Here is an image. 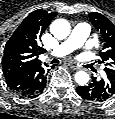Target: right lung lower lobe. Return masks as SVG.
Segmentation results:
<instances>
[{"label":"right lung lower lobe","mask_w":115,"mask_h":119,"mask_svg":"<svg viewBox=\"0 0 115 119\" xmlns=\"http://www.w3.org/2000/svg\"><path fill=\"white\" fill-rule=\"evenodd\" d=\"M47 70L41 65L27 67L5 76L7 86L24 97H37L46 87Z\"/></svg>","instance_id":"98d812e1"}]
</instances>
